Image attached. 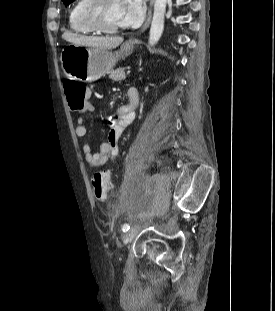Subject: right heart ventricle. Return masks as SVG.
<instances>
[{
  "mask_svg": "<svg viewBox=\"0 0 275 311\" xmlns=\"http://www.w3.org/2000/svg\"><path fill=\"white\" fill-rule=\"evenodd\" d=\"M86 3L87 0H75L68 14L69 28L79 34H92L95 32L80 17V10Z\"/></svg>",
  "mask_w": 275,
  "mask_h": 311,
  "instance_id": "e07e8e85",
  "label": "right heart ventricle"
}]
</instances>
